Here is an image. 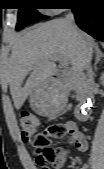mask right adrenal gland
Instances as JSON below:
<instances>
[{
	"mask_svg": "<svg viewBox=\"0 0 104 169\" xmlns=\"http://www.w3.org/2000/svg\"><path fill=\"white\" fill-rule=\"evenodd\" d=\"M96 50V57H95V63H94V71H97V64L101 61V59L104 58L103 51L100 50L98 46L95 47Z\"/></svg>",
	"mask_w": 104,
	"mask_h": 169,
	"instance_id": "2a0ac1e0",
	"label": "right adrenal gland"
}]
</instances>
